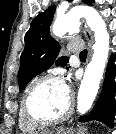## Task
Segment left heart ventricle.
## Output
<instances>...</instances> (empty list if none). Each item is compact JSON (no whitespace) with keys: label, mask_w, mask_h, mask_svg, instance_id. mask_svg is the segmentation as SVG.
I'll list each match as a JSON object with an SVG mask.
<instances>
[{"label":"left heart ventricle","mask_w":116,"mask_h":134,"mask_svg":"<svg viewBox=\"0 0 116 134\" xmlns=\"http://www.w3.org/2000/svg\"><path fill=\"white\" fill-rule=\"evenodd\" d=\"M70 96L64 91L62 82L48 81L32 94L30 108L38 117H57L68 108Z\"/></svg>","instance_id":"b2bd125f"}]
</instances>
